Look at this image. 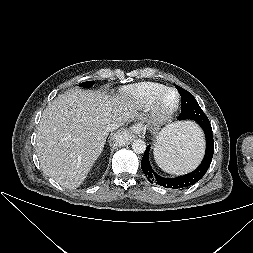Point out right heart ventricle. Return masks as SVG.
Instances as JSON below:
<instances>
[{
	"label": "right heart ventricle",
	"mask_w": 253,
	"mask_h": 253,
	"mask_svg": "<svg viewBox=\"0 0 253 253\" xmlns=\"http://www.w3.org/2000/svg\"><path fill=\"white\" fill-rule=\"evenodd\" d=\"M166 88L157 82H141L121 90L122 96L132 105L144 108L152 104L156 96Z\"/></svg>",
	"instance_id": "obj_1"
}]
</instances>
